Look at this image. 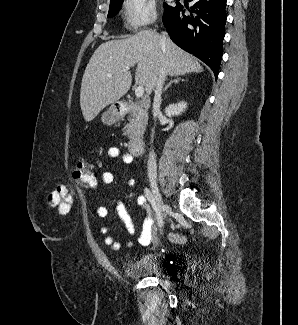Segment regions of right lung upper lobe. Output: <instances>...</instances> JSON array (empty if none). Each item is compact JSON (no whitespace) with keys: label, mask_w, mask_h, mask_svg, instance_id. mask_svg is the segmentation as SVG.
<instances>
[{"label":"right lung upper lobe","mask_w":298,"mask_h":325,"mask_svg":"<svg viewBox=\"0 0 298 325\" xmlns=\"http://www.w3.org/2000/svg\"><path fill=\"white\" fill-rule=\"evenodd\" d=\"M115 1H116V0H110V3H111V2H115Z\"/></svg>","instance_id":"cb5924a9"}]
</instances>
